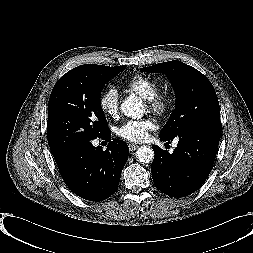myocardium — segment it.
I'll list each match as a JSON object with an SVG mask.
<instances>
[{
  "label": "myocardium",
  "mask_w": 253,
  "mask_h": 253,
  "mask_svg": "<svg viewBox=\"0 0 253 253\" xmlns=\"http://www.w3.org/2000/svg\"><path fill=\"white\" fill-rule=\"evenodd\" d=\"M171 105V97L167 93H157L146 100L147 109L156 116L164 115Z\"/></svg>",
  "instance_id": "obj_1"
}]
</instances>
